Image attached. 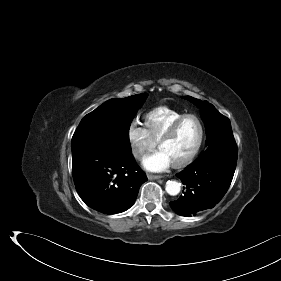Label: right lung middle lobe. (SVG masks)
Listing matches in <instances>:
<instances>
[{"instance_id": "dd1d6c3e", "label": "right lung middle lobe", "mask_w": 281, "mask_h": 281, "mask_svg": "<svg viewBox=\"0 0 281 281\" xmlns=\"http://www.w3.org/2000/svg\"><path fill=\"white\" fill-rule=\"evenodd\" d=\"M148 94L110 99L87 114L72 137V155L89 150L129 149V128Z\"/></svg>"}]
</instances>
